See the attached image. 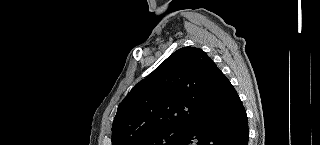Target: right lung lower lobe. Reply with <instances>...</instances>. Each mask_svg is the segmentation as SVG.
I'll return each instance as SVG.
<instances>
[{"instance_id": "obj_1", "label": "right lung lower lobe", "mask_w": 320, "mask_h": 145, "mask_svg": "<svg viewBox=\"0 0 320 145\" xmlns=\"http://www.w3.org/2000/svg\"><path fill=\"white\" fill-rule=\"evenodd\" d=\"M213 109L184 127L175 145H247L248 121L244 106L230 81L223 77Z\"/></svg>"}]
</instances>
